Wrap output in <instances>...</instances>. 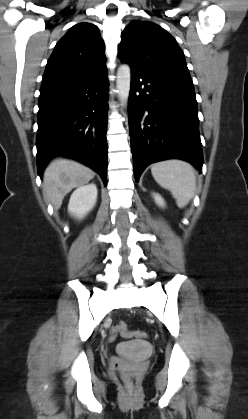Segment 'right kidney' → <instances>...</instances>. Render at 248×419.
<instances>
[{
	"instance_id": "1",
	"label": "right kidney",
	"mask_w": 248,
	"mask_h": 419,
	"mask_svg": "<svg viewBox=\"0 0 248 419\" xmlns=\"http://www.w3.org/2000/svg\"><path fill=\"white\" fill-rule=\"evenodd\" d=\"M97 194V187L93 183L77 188L69 200V214L78 219L86 216L94 208L97 201Z\"/></svg>"
}]
</instances>
